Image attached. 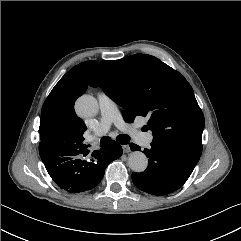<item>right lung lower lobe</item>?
Instances as JSON below:
<instances>
[{
  "label": "right lung lower lobe",
  "mask_w": 241,
  "mask_h": 241,
  "mask_svg": "<svg viewBox=\"0 0 241 241\" xmlns=\"http://www.w3.org/2000/svg\"><path fill=\"white\" fill-rule=\"evenodd\" d=\"M89 151L85 148L62 156L40 153L46 170L54 182L70 193L91 190L102 180L109 163L122 155V147L115 141L96 150L91 159H85Z\"/></svg>",
  "instance_id": "right-lung-lower-lobe-1"
}]
</instances>
